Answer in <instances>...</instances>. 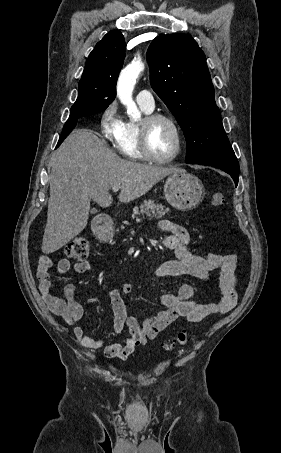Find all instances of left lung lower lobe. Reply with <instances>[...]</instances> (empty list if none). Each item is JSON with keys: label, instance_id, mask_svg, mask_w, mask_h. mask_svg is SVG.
I'll use <instances>...</instances> for the list:
<instances>
[{"label": "left lung lower lobe", "instance_id": "left-lung-lower-lobe-1", "mask_svg": "<svg viewBox=\"0 0 281 453\" xmlns=\"http://www.w3.org/2000/svg\"><path fill=\"white\" fill-rule=\"evenodd\" d=\"M189 164H199V165H207L219 168L226 173H228L234 180L235 185L238 184L239 178V163L236 156H229V157H218L212 159H205L196 162H192Z\"/></svg>", "mask_w": 281, "mask_h": 453}]
</instances>
